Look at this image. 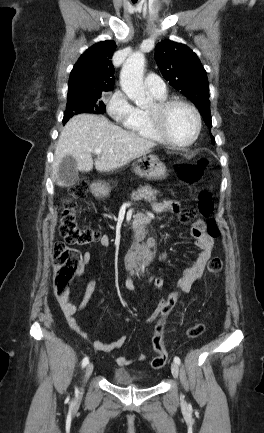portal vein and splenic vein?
Masks as SVG:
<instances>
[{
	"label": "portal vein and splenic vein",
	"mask_w": 264,
	"mask_h": 433,
	"mask_svg": "<svg viewBox=\"0 0 264 433\" xmlns=\"http://www.w3.org/2000/svg\"><path fill=\"white\" fill-rule=\"evenodd\" d=\"M101 152H102V150L100 148H95L94 149V153L97 154V155L101 154Z\"/></svg>",
	"instance_id": "18ae733b"
}]
</instances>
